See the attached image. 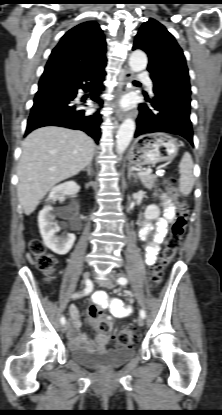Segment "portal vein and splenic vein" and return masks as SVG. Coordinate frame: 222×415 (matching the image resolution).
Returning a JSON list of instances; mask_svg holds the SVG:
<instances>
[{
    "instance_id": "18ae733b",
    "label": "portal vein and splenic vein",
    "mask_w": 222,
    "mask_h": 415,
    "mask_svg": "<svg viewBox=\"0 0 222 415\" xmlns=\"http://www.w3.org/2000/svg\"><path fill=\"white\" fill-rule=\"evenodd\" d=\"M151 172H152V169L148 168V169H146L145 171H140V172L138 173V175H141V174H150ZM159 175H163V173H161V174H159Z\"/></svg>"
}]
</instances>
